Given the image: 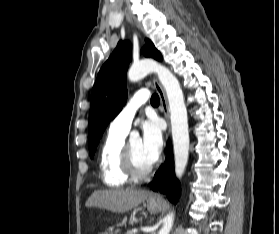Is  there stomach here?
I'll return each mask as SVG.
<instances>
[{
	"instance_id": "0dacf381",
	"label": "stomach",
	"mask_w": 279,
	"mask_h": 234,
	"mask_svg": "<svg viewBox=\"0 0 279 234\" xmlns=\"http://www.w3.org/2000/svg\"><path fill=\"white\" fill-rule=\"evenodd\" d=\"M159 207H160V203L159 202H152L151 200H147V209L151 213L157 212Z\"/></svg>"
}]
</instances>
